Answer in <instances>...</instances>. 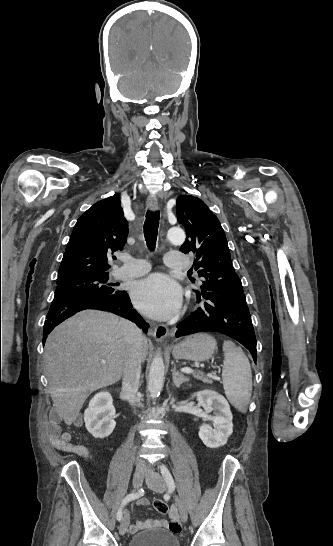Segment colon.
I'll return each instance as SVG.
<instances>
[{
	"label": "colon",
	"mask_w": 333,
	"mask_h": 546,
	"mask_svg": "<svg viewBox=\"0 0 333 546\" xmlns=\"http://www.w3.org/2000/svg\"><path fill=\"white\" fill-rule=\"evenodd\" d=\"M154 508L160 514H167L169 512L168 504L161 499H157L154 501Z\"/></svg>",
	"instance_id": "obj_1"
}]
</instances>
